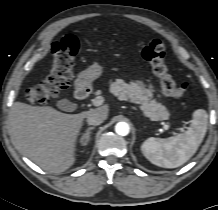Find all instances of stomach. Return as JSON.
<instances>
[{
	"mask_svg": "<svg viewBox=\"0 0 218 210\" xmlns=\"http://www.w3.org/2000/svg\"><path fill=\"white\" fill-rule=\"evenodd\" d=\"M103 72V67L94 63L81 72L74 82L76 90H82L91 86L92 82L99 78Z\"/></svg>",
	"mask_w": 218,
	"mask_h": 210,
	"instance_id": "0dacf381",
	"label": "stomach"
}]
</instances>
